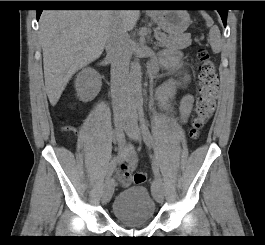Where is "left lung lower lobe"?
I'll return each mask as SVG.
<instances>
[{
	"label": "left lung lower lobe",
	"mask_w": 265,
	"mask_h": 245,
	"mask_svg": "<svg viewBox=\"0 0 265 245\" xmlns=\"http://www.w3.org/2000/svg\"><path fill=\"white\" fill-rule=\"evenodd\" d=\"M153 4L160 5V6H178L182 4V1H154ZM221 16L224 26H226L227 21V10L220 9L217 10Z\"/></svg>",
	"instance_id": "1"
}]
</instances>
